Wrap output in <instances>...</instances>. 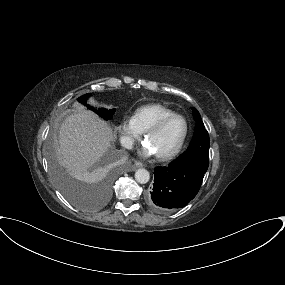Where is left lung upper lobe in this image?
Returning a JSON list of instances; mask_svg holds the SVG:
<instances>
[{
	"label": "left lung upper lobe",
	"mask_w": 285,
	"mask_h": 285,
	"mask_svg": "<svg viewBox=\"0 0 285 285\" xmlns=\"http://www.w3.org/2000/svg\"><path fill=\"white\" fill-rule=\"evenodd\" d=\"M196 127L190 145L178 159L172 164L177 166H187L206 173L209 163V135L202 122L199 112L193 108Z\"/></svg>",
	"instance_id": "1"
}]
</instances>
